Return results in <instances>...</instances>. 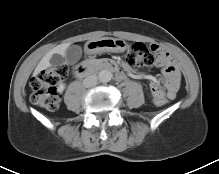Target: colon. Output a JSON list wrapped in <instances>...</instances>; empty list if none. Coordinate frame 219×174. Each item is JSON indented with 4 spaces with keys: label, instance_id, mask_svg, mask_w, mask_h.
Returning <instances> with one entry per match:
<instances>
[{
    "label": "colon",
    "instance_id": "colon-1",
    "mask_svg": "<svg viewBox=\"0 0 219 174\" xmlns=\"http://www.w3.org/2000/svg\"><path fill=\"white\" fill-rule=\"evenodd\" d=\"M126 62L133 67L150 66L155 62V54L143 43L133 44L126 54ZM69 69L67 65H57L48 67L30 81L31 101L40 107L54 111L59 107V93L56 89L58 82L68 76ZM154 103L159 106H165L166 98L153 96Z\"/></svg>",
    "mask_w": 219,
    "mask_h": 174
}]
</instances>
